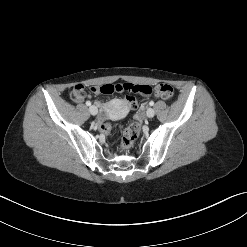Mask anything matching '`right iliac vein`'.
<instances>
[{
	"label": "right iliac vein",
	"instance_id": "63e3f726",
	"mask_svg": "<svg viewBox=\"0 0 247 247\" xmlns=\"http://www.w3.org/2000/svg\"><path fill=\"white\" fill-rule=\"evenodd\" d=\"M89 112L92 114V115H96L98 113V109L96 106L92 105L89 107Z\"/></svg>",
	"mask_w": 247,
	"mask_h": 247
}]
</instances>
